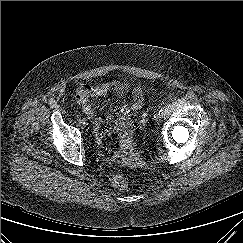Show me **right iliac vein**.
Instances as JSON below:
<instances>
[{
	"label": "right iliac vein",
	"instance_id": "63e3f726",
	"mask_svg": "<svg viewBox=\"0 0 243 243\" xmlns=\"http://www.w3.org/2000/svg\"><path fill=\"white\" fill-rule=\"evenodd\" d=\"M79 123L82 128H85L87 126V121L84 118L80 119Z\"/></svg>",
	"mask_w": 243,
	"mask_h": 243
}]
</instances>
